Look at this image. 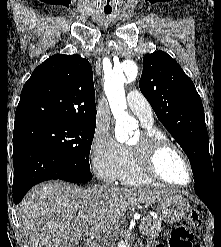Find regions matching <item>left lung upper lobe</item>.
<instances>
[{"mask_svg":"<svg viewBox=\"0 0 221 247\" xmlns=\"http://www.w3.org/2000/svg\"><path fill=\"white\" fill-rule=\"evenodd\" d=\"M139 87L188 156L194 181L213 175L202 101L180 65L163 51L145 55Z\"/></svg>","mask_w":221,"mask_h":247,"instance_id":"obj_1","label":"left lung upper lobe"}]
</instances>
